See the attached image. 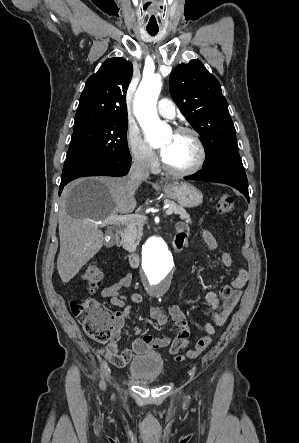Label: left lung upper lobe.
Wrapping results in <instances>:
<instances>
[{"label":"left lung upper lobe","mask_w":299,"mask_h":443,"mask_svg":"<svg viewBox=\"0 0 299 443\" xmlns=\"http://www.w3.org/2000/svg\"><path fill=\"white\" fill-rule=\"evenodd\" d=\"M169 83L173 99L205 143L203 168L219 164L243 166L235 127L216 77L194 59L177 65Z\"/></svg>","instance_id":"5c2ea615"}]
</instances>
